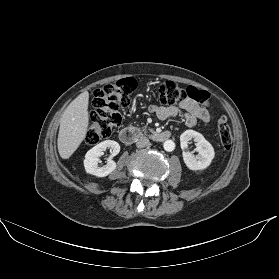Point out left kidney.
Masks as SVG:
<instances>
[{
    "label": "left kidney",
    "mask_w": 279,
    "mask_h": 279,
    "mask_svg": "<svg viewBox=\"0 0 279 279\" xmlns=\"http://www.w3.org/2000/svg\"><path fill=\"white\" fill-rule=\"evenodd\" d=\"M196 142L198 155L188 151V143L191 139ZM180 146L184 163L190 170H203L207 168L215 156L213 146L202 134L194 130H186L180 135Z\"/></svg>",
    "instance_id": "1"
}]
</instances>
